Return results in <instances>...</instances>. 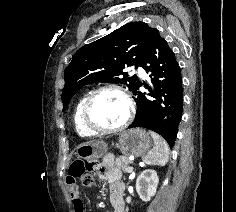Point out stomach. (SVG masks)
<instances>
[{
    "label": "stomach",
    "instance_id": "obj_1",
    "mask_svg": "<svg viewBox=\"0 0 236 212\" xmlns=\"http://www.w3.org/2000/svg\"><path fill=\"white\" fill-rule=\"evenodd\" d=\"M152 142L148 132L142 129H129L118 137L117 146L125 156H142L151 148ZM107 151L103 141L87 142L79 145L76 154L79 158L92 161L101 158Z\"/></svg>",
    "mask_w": 236,
    "mask_h": 212
}]
</instances>
